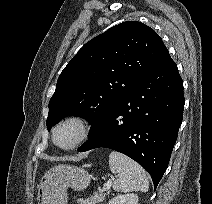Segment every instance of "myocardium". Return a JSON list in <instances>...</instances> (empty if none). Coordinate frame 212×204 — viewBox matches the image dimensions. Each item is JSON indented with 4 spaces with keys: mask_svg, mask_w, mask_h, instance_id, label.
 Masks as SVG:
<instances>
[{
    "mask_svg": "<svg viewBox=\"0 0 212 204\" xmlns=\"http://www.w3.org/2000/svg\"><path fill=\"white\" fill-rule=\"evenodd\" d=\"M68 125H73L77 128L78 130V135L75 141L68 145V146H62L56 141V134L57 131ZM90 133L89 125L87 121L78 115H69L66 116L65 118L61 119L54 127L52 130V141L53 143L60 149L62 150H72L80 146L82 143L86 141Z\"/></svg>",
    "mask_w": 212,
    "mask_h": 204,
    "instance_id": "myocardium-1",
    "label": "myocardium"
}]
</instances>
